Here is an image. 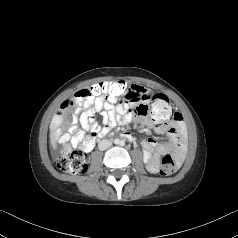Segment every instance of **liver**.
<instances>
[{
	"label": "liver",
	"mask_w": 238,
	"mask_h": 238,
	"mask_svg": "<svg viewBox=\"0 0 238 238\" xmlns=\"http://www.w3.org/2000/svg\"><path fill=\"white\" fill-rule=\"evenodd\" d=\"M52 146H53V148H56V142H55V140H54V138L52 139Z\"/></svg>",
	"instance_id": "obj_1"
}]
</instances>
